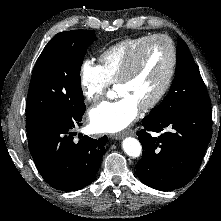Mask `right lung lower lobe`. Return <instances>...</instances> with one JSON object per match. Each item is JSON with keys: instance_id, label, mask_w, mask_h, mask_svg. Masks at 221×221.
Masks as SVG:
<instances>
[{"instance_id": "obj_1", "label": "right lung lower lobe", "mask_w": 221, "mask_h": 221, "mask_svg": "<svg viewBox=\"0 0 221 221\" xmlns=\"http://www.w3.org/2000/svg\"><path fill=\"white\" fill-rule=\"evenodd\" d=\"M84 112L52 116L28 137L29 150L39 173L55 189L79 190L96 177L108 138L96 140L84 136L74 143L72 129L82 125Z\"/></svg>"}]
</instances>
